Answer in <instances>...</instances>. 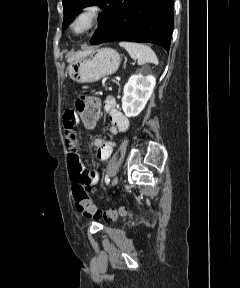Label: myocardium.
<instances>
[{
	"label": "myocardium",
	"instance_id": "myocardium-1",
	"mask_svg": "<svg viewBox=\"0 0 240 288\" xmlns=\"http://www.w3.org/2000/svg\"><path fill=\"white\" fill-rule=\"evenodd\" d=\"M104 8L100 3L92 2L83 5L74 15L70 22V30L74 35H85L97 27L102 19ZM87 20V26L82 31H76L75 25L81 20Z\"/></svg>",
	"mask_w": 240,
	"mask_h": 288
}]
</instances>
